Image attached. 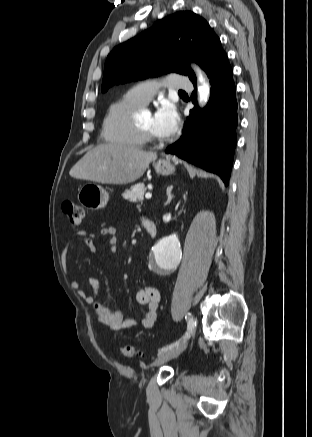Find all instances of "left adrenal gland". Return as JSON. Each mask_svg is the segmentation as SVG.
I'll return each instance as SVG.
<instances>
[{"mask_svg":"<svg viewBox=\"0 0 312 437\" xmlns=\"http://www.w3.org/2000/svg\"><path fill=\"white\" fill-rule=\"evenodd\" d=\"M172 189H173V186H170V187L167 189V197H168V199H167V201H166V203H165V206L168 205V204H170L171 200L173 199V195L171 194Z\"/></svg>","mask_w":312,"mask_h":437,"instance_id":"obj_1","label":"left adrenal gland"}]
</instances>
